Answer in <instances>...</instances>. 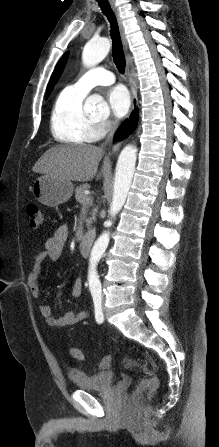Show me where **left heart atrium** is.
<instances>
[{
	"mask_svg": "<svg viewBox=\"0 0 219 447\" xmlns=\"http://www.w3.org/2000/svg\"><path fill=\"white\" fill-rule=\"evenodd\" d=\"M108 104L115 117H124L131 107V98L127 89L122 86L113 88L108 94Z\"/></svg>",
	"mask_w": 219,
	"mask_h": 447,
	"instance_id": "1",
	"label": "left heart atrium"
}]
</instances>
